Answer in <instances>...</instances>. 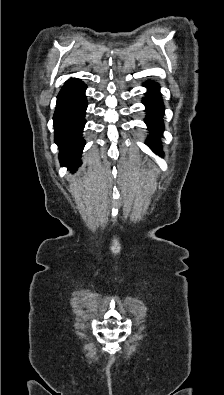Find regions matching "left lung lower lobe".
I'll return each instance as SVG.
<instances>
[{"label": "left lung lower lobe", "mask_w": 224, "mask_h": 395, "mask_svg": "<svg viewBox=\"0 0 224 395\" xmlns=\"http://www.w3.org/2000/svg\"><path fill=\"white\" fill-rule=\"evenodd\" d=\"M146 87L149 91L144 98V104L147 107V118L145 120L151 133L148 138V146L153 149L157 154L162 155L160 141L157 135H161L163 131V103L160 99L159 85L154 82H148Z\"/></svg>", "instance_id": "left-lung-lower-lobe-1"}]
</instances>
